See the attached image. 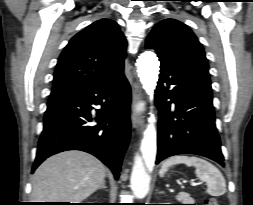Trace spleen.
I'll use <instances>...</instances> for the list:
<instances>
[{"instance_id": "1", "label": "spleen", "mask_w": 253, "mask_h": 205, "mask_svg": "<svg viewBox=\"0 0 253 205\" xmlns=\"http://www.w3.org/2000/svg\"><path fill=\"white\" fill-rule=\"evenodd\" d=\"M181 163L195 167L197 178L207 184L208 194L220 196L226 192V181L220 170L210 162L196 156L178 155L168 158L159 171L160 176L163 177L170 166Z\"/></svg>"}]
</instances>
